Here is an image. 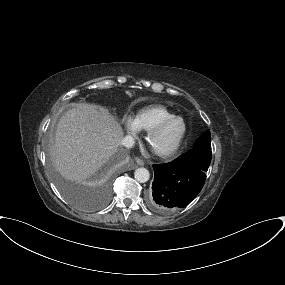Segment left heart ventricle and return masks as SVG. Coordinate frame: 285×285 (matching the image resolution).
Returning a JSON list of instances; mask_svg holds the SVG:
<instances>
[{
    "label": "left heart ventricle",
    "instance_id": "left-heart-ventricle-1",
    "mask_svg": "<svg viewBox=\"0 0 285 285\" xmlns=\"http://www.w3.org/2000/svg\"><path fill=\"white\" fill-rule=\"evenodd\" d=\"M183 129L180 120H176L167 125L161 132L154 136L152 147L155 149H165L171 146Z\"/></svg>",
    "mask_w": 285,
    "mask_h": 285
}]
</instances>
